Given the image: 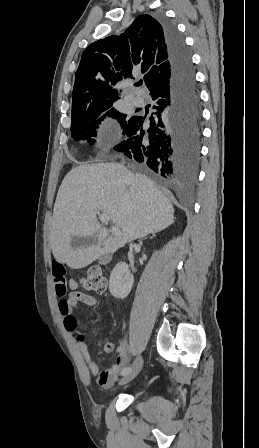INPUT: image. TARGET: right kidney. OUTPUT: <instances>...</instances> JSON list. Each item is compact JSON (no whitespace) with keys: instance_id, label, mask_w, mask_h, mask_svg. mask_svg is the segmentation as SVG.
Listing matches in <instances>:
<instances>
[{"instance_id":"1","label":"right kidney","mask_w":259,"mask_h":448,"mask_svg":"<svg viewBox=\"0 0 259 448\" xmlns=\"http://www.w3.org/2000/svg\"><path fill=\"white\" fill-rule=\"evenodd\" d=\"M134 278L130 274L129 266L126 262L116 264L109 280V290L114 298H127L132 290Z\"/></svg>"}]
</instances>
